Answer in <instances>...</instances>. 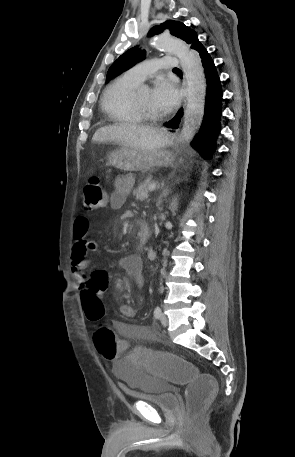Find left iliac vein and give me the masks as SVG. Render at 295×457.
<instances>
[{
    "mask_svg": "<svg viewBox=\"0 0 295 457\" xmlns=\"http://www.w3.org/2000/svg\"><path fill=\"white\" fill-rule=\"evenodd\" d=\"M160 321H161V324L165 327L168 325V322H169L168 317L163 313L160 316Z\"/></svg>",
    "mask_w": 295,
    "mask_h": 457,
    "instance_id": "1",
    "label": "left iliac vein"
}]
</instances>
